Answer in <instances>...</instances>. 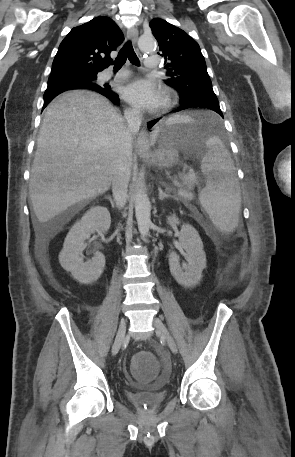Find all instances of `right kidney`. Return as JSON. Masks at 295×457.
I'll list each match as a JSON object with an SVG mask.
<instances>
[{"instance_id": "ca27d5eb", "label": "right kidney", "mask_w": 295, "mask_h": 457, "mask_svg": "<svg viewBox=\"0 0 295 457\" xmlns=\"http://www.w3.org/2000/svg\"><path fill=\"white\" fill-rule=\"evenodd\" d=\"M110 224L111 217L108 209L103 206H95L72 226L66 236L63 249L59 254V261L61 266L71 272L72 276L82 284L96 281L105 267V257L98 251L94 253L91 260L83 262L80 255L84 250V241L95 230L108 231Z\"/></svg>"}]
</instances>
